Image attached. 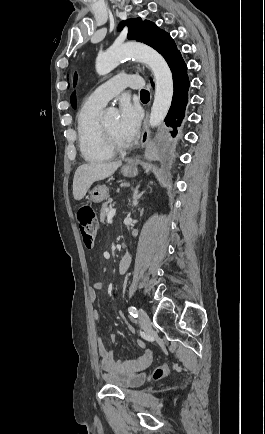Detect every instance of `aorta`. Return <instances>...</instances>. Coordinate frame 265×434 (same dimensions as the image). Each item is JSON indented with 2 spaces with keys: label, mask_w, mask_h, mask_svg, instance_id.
Masks as SVG:
<instances>
[{
  "label": "aorta",
  "mask_w": 265,
  "mask_h": 434,
  "mask_svg": "<svg viewBox=\"0 0 265 434\" xmlns=\"http://www.w3.org/2000/svg\"><path fill=\"white\" fill-rule=\"evenodd\" d=\"M135 58L137 62L147 64L153 72L156 88L153 106L151 108L149 126L156 128L164 122L172 104L173 78L172 72L163 56L153 48L144 44H123V46H111L104 54H99L95 62V70L99 76L110 74L119 66L122 58ZM106 116H115L114 108H108Z\"/></svg>",
  "instance_id": "1"
}]
</instances>
